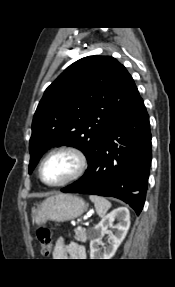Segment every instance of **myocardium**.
Returning a JSON list of instances; mask_svg holds the SVG:
<instances>
[{"label":"myocardium","instance_id":"obj_1","mask_svg":"<svg viewBox=\"0 0 175 287\" xmlns=\"http://www.w3.org/2000/svg\"><path fill=\"white\" fill-rule=\"evenodd\" d=\"M57 153H70L72 156L75 157L76 161H77V168L76 170L65 180L58 182V183H48L44 180L43 178V166L45 164V162L53 155L57 154ZM88 168V158L87 155L79 148L74 147V146H60L57 148L52 149L51 151H49L44 158L42 159V161L40 162L39 165V169H38V175L40 180L42 181L43 184H45L48 187H62L65 186L67 184H70L76 180H78L79 178H81L84 173L86 172Z\"/></svg>","mask_w":175,"mask_h":287}]
</instances>
